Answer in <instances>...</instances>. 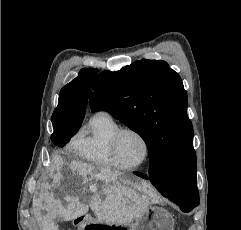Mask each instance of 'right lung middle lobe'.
<instances>
[{
	"mask_svg": "<svg viewBox=\"0 0 241 230\" xmlns=\"http://www.w3.org/2000/svg\"><path fill=\"white\" fill-rule=\"evenodd\" d=\"M81 124L73 122H53L54 133L51 136L52 142L63 147L70 138L77 133Z\"/></svg>",
	"mask_w": 241,
	"mask_h": 230,
	"instance_id": "obj_1",
	"label": "right lung middle lobe"
}]
</instances>
